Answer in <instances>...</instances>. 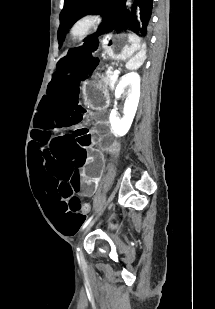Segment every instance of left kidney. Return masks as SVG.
<instances>
[{
  "label": "left kidney",
  "instance_id": "left-kidney-1",
  "mask_svg": "<svg viewBox=\"0 0 215 309\" xmlns=\"http://www.w3.org/2000/svg\"><path fill=\"white\" fill-rule=\"evenodd\" d=\"M126 86H130V88L126 92L128 96L124 102V116L120 118L116 108L111 110L109 116L112 132H114V134H119V136H124V134L128 132L137 110L140 96V76L137 72H128V74L122 76L119 84L116 86L115 96H121ZM134 86L137 88L136 94H134Z\"/></svg>",
  "mask_w": 215,
  "mask_h": 309
}]
</instances>
